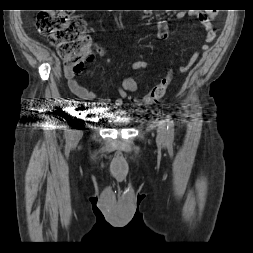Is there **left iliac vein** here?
<instances>
[{
	"label": "left iliac vein",
	"instance_id": "obj_1",
	"mask_svg": "<svg viewBox=\"0 0 253 253\" xmlns=\"http://www.w3.org/2000/svg\"><path fill=\"white\" fill-rule=\"evenodd\" d=\"M157 139L160 142H164L166 140V129L163 123L159 124L157 128Z\"/></svg>",
	"mask_w": 253,
	"mask_h": 253
}]
</instances>
